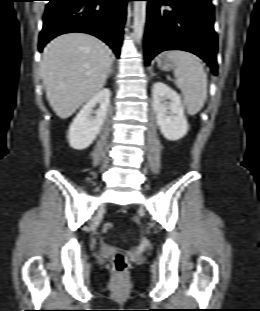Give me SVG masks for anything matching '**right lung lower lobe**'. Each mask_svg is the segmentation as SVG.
Listing matches in <instances>:
<instances>
[{"label": "right lung lower lobe", "mask_w": 260, "mask_h": 311, "mask_svg": "<svg viewBox=\"0 0 260 311\" xmlns=\"http://www.w3.org/2000/svg\"><path fill=\"white\" fill-rule=\"evenodd\" d=\"M128 1L49 0L39 37V51L58 35L83 32L103 40L119 57Z\"/></svg>", "instance_id": "obj_1"}]
</instances>
